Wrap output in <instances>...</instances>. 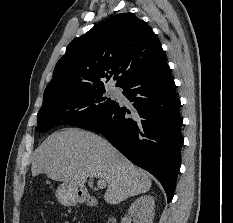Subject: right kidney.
Instances as JSON below:
<instances>
[{"instance_id":"right-kidney-1","label":"right kidney","mask_w":233,"mask_h":223,"mask_svg":"<svg viewBox=\"0 0 233 223\" xmlns=\"http://www.w3.org/2000/svg\"><path fill=\"white\" fill-rule=\"evenodd\" d=\"M128 213L132 215L134 223H153L155 203L153 195H141L131 203Z\"/></svg>"}]
</instances>
